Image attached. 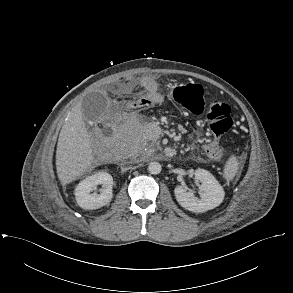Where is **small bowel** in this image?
<instances>
[{
	"instance_id": "1",
	"label": "small bowel",
	"mask_w": 293,
	"mask_h": 293,
	"mask_svg": "<svg viewBox=\"0 0 293 293\" xmlns=\"http://www.w3.org/2000/svg\"><path fill=\"white\" fill-rule=\"evenodd\" d=\"M128 90H144L150 96L155 104L163 102V96L159 92V86L152 75H143L139 78L129 79L126 83Z\"/></svg>"
}]
</instances>
